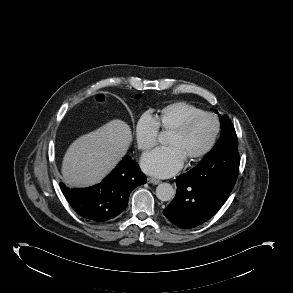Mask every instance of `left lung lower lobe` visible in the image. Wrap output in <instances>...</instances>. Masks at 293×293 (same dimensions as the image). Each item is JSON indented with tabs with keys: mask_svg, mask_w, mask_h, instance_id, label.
<instances>
[{
	"mask_svg": "<svg viewBox=\"0 0 293 293\" xmlns=\"http://www.w3.org/2000/svg\"><path fill=\"white\" fill-rule=\"evenodd\" d=\"M209 167L196 166L176 177L177 192L163 214L181 228H193L209 220L229 197L239 171V154Z\"/></svg>",
	"mask_w": 293,
	"mask_h": 293,
	"instance_id": "0a47b994",
	"label": "left lung lower lobe"
}]
</instances>
